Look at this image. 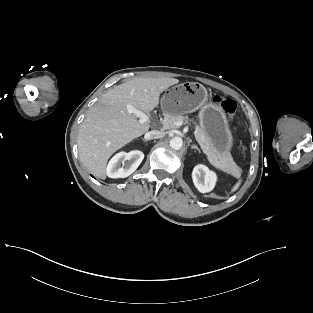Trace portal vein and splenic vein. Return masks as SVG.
<instances>
[{
	"mask_svg": "<svg viewBox=\"0 0 313 313\" xmlns=\"http://www.w3.org/2000/svg\"><path fill=\"white\" fill-rule=\"evenodd\" d=\"M128 113H133L139 118L140 123L149 122L152 120V117H150L148 114L142 112L139 109L134 108L131 104L127 105ZM187 123V121H185ZM184 123V120H178L174 123L175 127H180Z\"/></svg>",
	"mask_w": 313,
	"mask_h": 313,
	"instance_id": "obj_1",
	"label": "portal vein and splenic vein"
}]
</instances>
